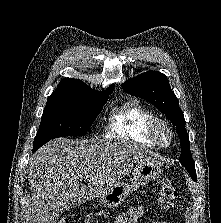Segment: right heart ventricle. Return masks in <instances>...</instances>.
<instances>
[{
    "label": "right heart ventricle",
    "mask_w": 221,
    "mask_h": 223,
    "mask_svg": "<svg viewBox=\"0 0 221 223\" xmlns=\"http://www.w3.org/2000/svg\"><path fill=\"white\" fill-rule=\"evenodd\" d=\"M155 113L137 99L116 106L110 112L106 126V137L122 142H135L157 147L146 134Z\"/></svg>",
    "instance_id": "obj_1"
}]
</instances>
